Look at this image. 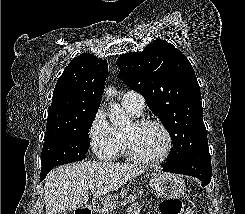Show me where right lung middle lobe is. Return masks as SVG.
I'll return each mask as SVG.
<instances>
[{
  "mask_svg": "<svg viewBox=\"0 0 245 214\" xmlns=\"http://www.w3.org/2000/svg\"><path fill=\"white\" fill-rule=\"evenodd\" d=\"M96 113L84 114L73 127L45 134L41 176L58 165L81 161L86 157L90 145L88 132Z\"/></svg>",
  "mask_w": 245,
  "mask_h": 214,
  "instance_id": "right-lung-middle-lobe-1",
  "label": "right lung middle lobe"
}]
</instances>
